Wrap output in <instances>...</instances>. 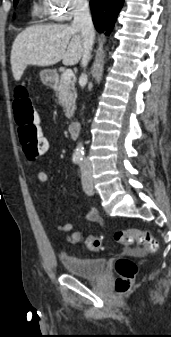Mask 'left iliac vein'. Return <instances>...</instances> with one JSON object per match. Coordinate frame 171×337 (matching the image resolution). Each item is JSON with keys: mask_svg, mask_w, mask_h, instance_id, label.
<instances>
[{"mask_svg": "<svg viewBox=\"0 0 171 337\" xmlns=\"http://www.w3.org/2000/svg\"><path fill=\"white\" fill-rule=\"evenodd\" d=\"M82 186H83L84 192L87 195L94 194V185H93L90 167H86V169L84 170L82 174Z\"/></svg>", "mask_w": 171, "mask_h": 337, "instance_id": "obj_1", "label": "left iliac vein"}]
</instances>
